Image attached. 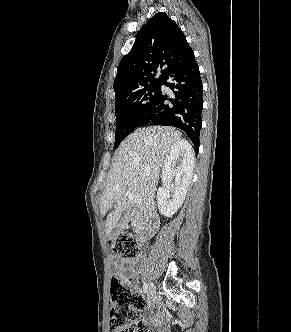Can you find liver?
<instances>
[{
	"instance_id": "1",
	"label": "liver",
	"mask_w": 291,
	"mask_h": 332,
	"mask_svg": "<svg viewBox=\"0 0 291 332\" xmlns=\"http://www.w3.org/2000/svg\"><path fill=\"white\" fill-rule=\"evenodd\" d=\"M181 133L171 127L154 126L131 133L118 147L109 172V180L101 196V214L106 217V236L120 220L132 201L127 192L139 194L141 214L156 209L154 201L161 168L172 146L181 141Z\"/></svg>"
}]
</instances>
